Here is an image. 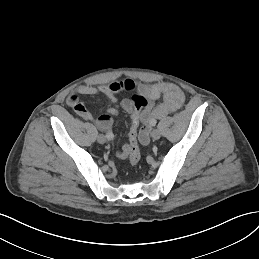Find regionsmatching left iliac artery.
Returning a JSON list of instances; mask_svg holds the SVG:
<instances>
[{"label": "left iliac artery", "instance_id": "left-iliac-artery-1", "mask_svg": "<svg viewBox=\"0 0 259 259\" xmlns=\"http://www.w3.org/2000/svg\"><path fill=\"white\" fill-rule=\"evenodd\" d=\"M156 124V120L154 121V125Z\"/></svg>", "mask_w": 259, "mask_h": 259}]
</instances>
